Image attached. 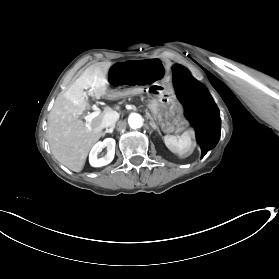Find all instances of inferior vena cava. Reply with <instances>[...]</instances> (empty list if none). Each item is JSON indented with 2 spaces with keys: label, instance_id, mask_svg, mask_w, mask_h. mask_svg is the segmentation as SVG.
<instances>
[{
  "label": "inferior vena cava",
  "instance_id": "inferior-vena-cava-1",
  "mask_svg": "<svg viewBox=\"0 0 279 279\" xmlns=\"http://www.w3.org/2000/svg\"><path fill=\"white\" fill-rule=\"evenodd\" d=\"M115 114L113 113H106V115L103 116V119H102V126L103 128L106 127V130H109L107 129V127H111V128H114L115 127V122L119 119V115L118 113L114 112Z\"/></svg>",
  "mask_w": 279,
  "mask_h": 279
}]
</instances>
